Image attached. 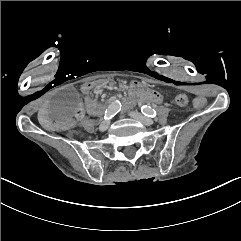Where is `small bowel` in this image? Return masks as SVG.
Wrapping results in <instances>:
<instances>
[{
	"label": "small bowel",
	"instance_id": "1",
	"mask_svg": "<svg viewBox=\"0 0 241 241\" xmlns=\"http://www.w3.org/2000/svg\"><path fill=\"white\" fill-rule=\"evenodd\" d=\"M95 83H87L83 85L82 91L86 95V104L91 113H95L97 110V104L96 101L93 99L91 94L94 91L95 88ZM127 90L131 94L135 93H142L144 97H146L149 100H154V101H162L163 100V95L158 94L157 90L152 89L149 87L148 84L143 83V82H138V81H132L131 84L128 85ZM40 111H39V116L41 118V121L44 126L49 127V128H54L57 130H66L69 127L68 122L66 121H57L54 119H50L47 108L48 105L45 102L40 103L39 105Z\"/></svg>",
	"mask_w": 241,
	"mask_h": 241
}]
</instances>
